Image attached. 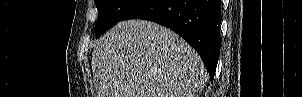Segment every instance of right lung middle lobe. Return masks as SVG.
Wrapping results in <instances>:
<instances>
[{
	"mask_svg": "<svg viewBox=\"0 0 302 97\" xmlns=\"http://www.w3.org/2000/svg\"><path fill=\"white\" fill-rule=\"evenodd\" d=\"M141 0H95L98 9V20L94 31L100 36L106 30L122 21L125 14Z\"/></svg>",
	"mask_w": 302,
	"mask_h": 97,
	"instance_id": "right-lung-middle-lobe-1",
	"label": "right lung middle lobe"
}]
</instances>
